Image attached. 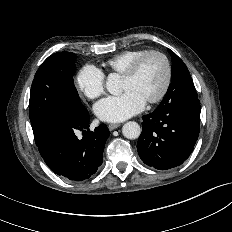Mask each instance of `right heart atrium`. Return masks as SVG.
Listing matches in <instances>:
<instances>
[{
  "label": "right heart atrium",
  "instance_id": "right-heart-atrium-1",
  "mask_svg": "<svg viewBox=\"0 0 232 232\" xmlns=\"http://www.w3.org/2000/svg\"><path fill=\"white\" fill-rule=\"evenodd\" d=\"M78 91L88 99H96L105 91V75L93 65L83 66L76 76Z\"/></svg>",
  "mask_w": 232,
  "mask_h": 232
}]
</instances>
